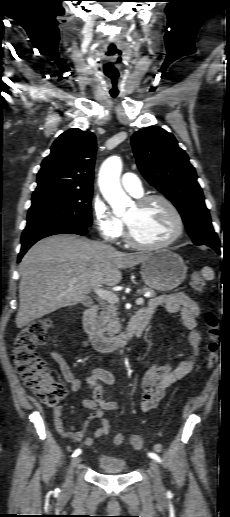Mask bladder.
<instances>
[{
  "label": "bladder",
  "instance_id": "obj_1",
  "mask_svg": "<svg viewBox=\"0 0 230 517\" xmlns=\"http://www.w3.org/2000/svg\"><path fill=\"white\" fill-rule=\"evenodd\" d=\"M98 470L112 475L124 474L127 472L124 460L113 457L108 454H101L97 462Z\"/></svg>",
  "mask_w": 230,
  "mask_h": 517
}]
</instances>
